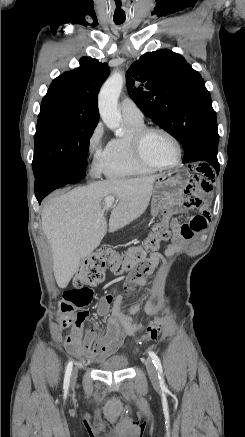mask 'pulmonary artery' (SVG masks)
<instances>
[{"instance_id":"e3ab8cb5","label":"pulmonary artery","mask_w":245,"mask_h":437,"mask_svg":"<svg viewBox=\"0 0 245 437\" xmlns=\"http://www.w3.org/2000/svg\"><path fill=\"white\" fill-rule=\"evenodd\" d=\"M121 113L124 119L141 122L143 121V114L138 106L129 98L122 100Z\"/></svg>"}]
</instances>
